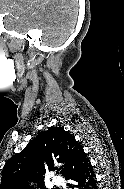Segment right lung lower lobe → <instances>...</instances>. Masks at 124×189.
Wrapping results in <instances>:
<instances>
[{"label": "right lung lower lobe", "instance_id": "obj_1", "mask_svg": "<svg viewBox=\"0 0 124 189\" xmlns=\"http://www.w3.org/2000/svg\"><path fill=\"white\" fill-rule=\"evenodd\" d=\"M66 180L72 181L71 184H68L72 189H98L96 175L90 161L78 171L67 176Z\"/></svg>", "mask_w": 124, "mask_h": 189}]
</instances>
